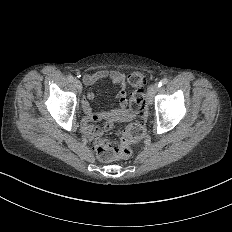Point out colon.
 Here are the masks:
<instances>
[{
	"instance_id": "obj_1",
	"label": "colon",
	"mask_w": 232,
	"mask_h": 232,
	"mask_svg": "<svg viewBox=\"0 0 232 232\" xmlns=\"http://www.w3.org/2000/svg\"><path fill=\"white\" fill-rule=\"evenodd\" d=\"M143 76H146V71H132L130 75V81L132 83L131 106L138 115H143L148 110L145 94L146 86H149V81H144ZM143 135L144 127L140 123H133L124 131L123 139L115 134H105L99 137L94 145V152L109 162H116L120 158V151L124 148V142L127 144H135L141 140Z\"/></svg>"
}]
</instances>
